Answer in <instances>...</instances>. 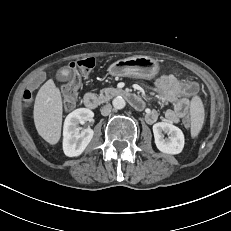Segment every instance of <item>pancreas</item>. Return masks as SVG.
I'll return each mask as SVG.
<instances>
[{"label": "pancreas", "instance_id": "1", "mask_svg": "<svg viewBox=\"0 0 231 231\" xmlns=\"http://www.w3.org/2000/svg\"><path fill=\"white\" fill-rule=\"evenodd\" d=\"M110 91H111V89H109V88H105V89L101 90V92L99 94V100L101 102L108 101L111 98V96L109 95Z\"/></svg>", "mask_w": 231, "mask_h": 231}]
</instances>
